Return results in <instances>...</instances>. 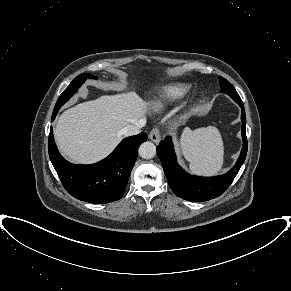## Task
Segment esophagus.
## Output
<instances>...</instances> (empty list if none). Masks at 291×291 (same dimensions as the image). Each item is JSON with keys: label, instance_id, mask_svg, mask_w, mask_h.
I'll list each match as a JSON object with an SVG mask.
<instances>
[{"label": "esophagus", "instance_id": "34e87169", "mask_svg": "<svg viewBox=\"0 0 291 291\" xmlns=\"http://www.w3.org/2000/svg\"><path fill=\"white\" fill-rule=\"evenodd\" d=\"M149 138L154 143H159L161 140V134L158 128H153L149 134Z\"/></svg>", "mask_w": 291, "mask_h": 291}]
</instances>
